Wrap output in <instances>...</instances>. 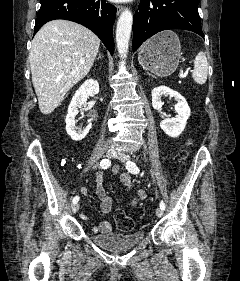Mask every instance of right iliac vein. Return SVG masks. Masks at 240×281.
<instances>
[{
  "label": "right iliac vein",
  "mask_w": 240,
  "mask_h": 281,
  "mask_svg": "<svg viewBox=\"0 0 240 281\" xmlns=\"http://www.w3.org/2000/svg\"><path fill=\"white\" fill-rule=\"evenodd\" d=\"M116 155V150L114 148H110L106 151V157L107 158H112ZM79 210V203H75L72 206V213H76Z\"/></svg>",
  "instance_id": "1"
}]
</instances>
